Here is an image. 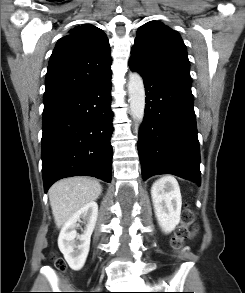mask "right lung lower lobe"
<instances>
[{"mask_svg": "<svg viewBox=\"0 0 245 293\" xmlns=\"http://www.w3.org/2000/svg\"><path fill=\"white\" fill-rule=\"evenodd\" d=\"M111 74L44 106L42 174L45 192L59 179L87 175L111 181Z\"/></svg>", "mask_w": 245, "mask_h": 293, "instance_id": "1", "label": "right lung lower lobe"}]
</instances>
